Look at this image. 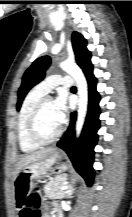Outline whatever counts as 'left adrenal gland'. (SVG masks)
<instances>
[{"label":"left adrenal gland","instance_id":"left-adrenal-gland-1","mask_svg":"<svg viewBox=\"0 0 132 217\" xmlns=\"http://www.w3.org/2000/svg\"><path fill=\"white\" fill-rule=\"evenodd\" d=\"M73 192H74V188L72 187V185H70L66 193L67 197L70 198Z\"/></svg>","mask_w":132,"mask_h":217}]
</instances>
